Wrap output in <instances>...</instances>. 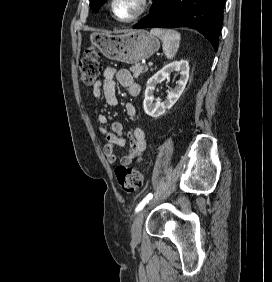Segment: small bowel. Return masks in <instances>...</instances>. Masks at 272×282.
I'll list each match as a JSON object with an SVG mask.
<instances>
[{
	"mask_svg": "<svg viewBox=\"0 0 272 282\" xmlns=\"http://www.w3.org/2000/svg\"><path fill=\"white\" fill-rule=\"evenodd\" d=\"M117 83L126 88L132 97H137L140 93V86L133 80L128 70L108 67L104 71L103 79L97 81L94 85L93 97L98 99L103 96L110 106H116L118 104L116 97ZM125 111L129 117H133L136 114V107L132 103H127L125 105ZM98 122L100 124L108 123L107 116L99 114ZM101 131L107 140V144L104 146V153L109 164L114 165L119 163L128 166L133 162H140L142 160L143 153L147 148V137L142 128L134 129L129 135V151L121 158H118L115 154V148L123 147L126 143L122 123L113 122L111 131L103 128H101Z\"/></svg>",
	"mask_w": 272,
	"mask_h": 282,
	"instance_id": "obj_1",
	"label": "small bowel"
}]
</instances>
